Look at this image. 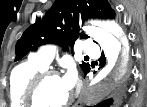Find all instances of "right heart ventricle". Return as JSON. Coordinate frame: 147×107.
I'll use <instances>...</instances> for the list:
<instances>
[{"mask_svg": "<svg viewBox=\"0 0 147 107\" xmlns=\"http://www.w3.org/2000/svg\"><path fill=\"white\" fill-rule=\"evenodd\" d=\"M45 68V66L30 59L12 70L9 82V98L12 107H27L25 103L27 87L34 76Z\"/></svg>", "mask_w": 147, "mask_h": 107, "instance_id": "obj_1", "label": "right heart ventricle"}]
</instances>
